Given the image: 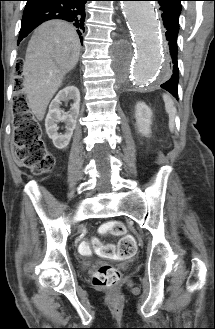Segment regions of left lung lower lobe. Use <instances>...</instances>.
I'll list each match as a JSON object with an SVG mask.
<instances>
[{"mask_svg": "<svg viewBox=\"0 0 215 329\" xmlns=\"http://www.w3.org/2000/svg\"><path fill=\"white\" fill-rule=\"evenodd\" d=\"M158 1L162 12L164 27L166 28V50H167V80L161 84V88L170 92L178 100V32H179V16L181 9L174 5L170 0Z\"/></svg>", "mask_w": 215, "mask_h": 329, "instance_id": "0a47b994", "label": "left lung lower lobe"}]
</instances>
